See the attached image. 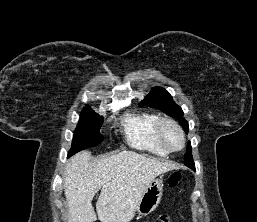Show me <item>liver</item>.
Returning <instances> with one entry per match:
<instances>
[{
    "instance_id": "liver-1",
    "label": "liver",
    "mask_w": 257,
    "mask_h": 222,
    "mask_svg": "<svg viewBox=\"0 0 257 222\" xmlns=\"http://www.w3.org/2000/svg\"><path fill=\"white\" fill-rule=\"evenodd\" d=\"M173 169L175 163L126 150L97 161L88 151L74 155L65 170L68 222H129L149 184ZM100 189L96 216L91 201Z\"/></svg>"
}]
</instances>
